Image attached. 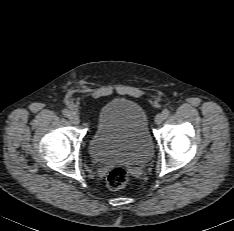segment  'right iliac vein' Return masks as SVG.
Here are the masks:
<instances>
[{
	"mask_svg": "<svg viewBox=\"0 0 234 231\" xmlns=\"http://www.w3.org/2000/svg\"><path fill=\"white\" fill-rule=\"evenodd\" d=\"M69 120H70V122H71L72 124H74V125H78L79 122H80L78 116H76V115H74V114H71V115L69 116Z\"/></svg>",
	"mask_w": 234,
	"mask_h": 231,
	"instance_id": "obj_1",
	"label": "right iliac vein"
}]
</instances>
